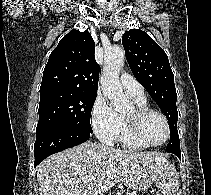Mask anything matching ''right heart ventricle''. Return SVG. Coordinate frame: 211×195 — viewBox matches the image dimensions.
<instances>
[{
	"instance_id": "1",
	"label": "right heart ventricle",
	"mask_w": 211,
	"mask_h": 195,
	"mask_svg": "<svg viewBox=\"0 0 211 195\" xmlns=\"http://www.w3.org/2000/svg\"><path fill=\"white\" fill-rule=\"evenodd\" d=\"M134 102L137 104V106H147L146 98L144 99H133ZM121 117V124H120V131L118 134V141L126 148H132V149H140L144 148L143 145L139 144L137 141H135L131 135L128 132L125 117Z\"/></svg>"
}]
</instances>
